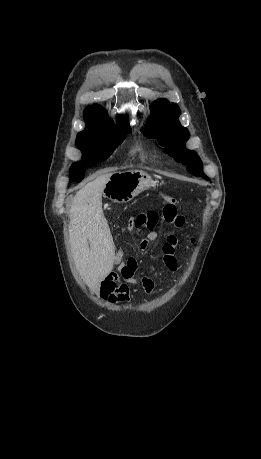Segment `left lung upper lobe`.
Returning <instances> with one entry per match:
<instances>
[{"instance_id": "left-lung-upper-lobe-1", "label": "left lung upper lobe", "mask_w": 261, "mask_h": 459, "mask_svg": "<svg viewBox=\"0 0 261 459\" xmlns=\"http://www.w3.org/2000/svg\"><path fill=\"white\" fill-rule=\"evenodd\" d=\"M179 115L178 105L169 103L166 99L156 100L151 104V116L147 126L141 131L149 138H158L168 154L176 161L186 164L189 172L208 180L202 172V161L199 156L184 146L189 138V132L179 123Z\"/></svg>"}]
</instances>
